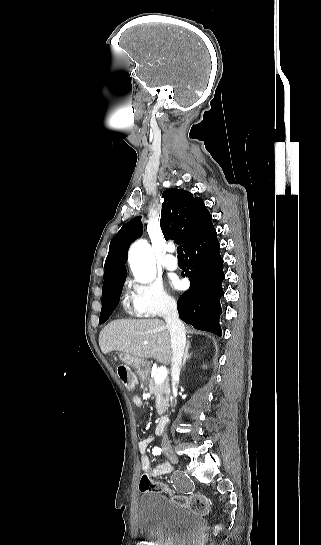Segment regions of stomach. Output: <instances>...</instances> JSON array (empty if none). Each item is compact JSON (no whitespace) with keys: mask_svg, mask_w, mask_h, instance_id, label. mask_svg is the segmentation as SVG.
Listing matches in <instances>:
<instances>
[{"mask_svg":"<svg viewBox=\"0 0 321 545\" xmlns=\"http://www.w3.org/2000/svg\"><path fill=\"white\" fill-rule=\"evenodd\" d=\"M120 361H123V363H126L128 367H132L134 371H136L137 375H145L146 371H148L150 367L149 361L147 359H140V357H132V355H127V353H120L119 355Z\"/></svg>","mask_w":321,"mask_h":545,"instance_id":"obj_1","label":"stomach"}]
</instances>
